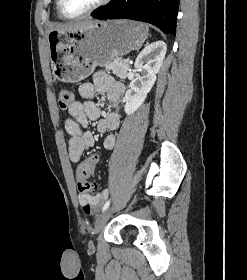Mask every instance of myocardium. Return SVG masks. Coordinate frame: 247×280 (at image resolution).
Returning a JSON list of instances; mask_svg holds the SVG:
<instances>
[{"mask_svg":"<svg viewBox=\"0 0 247 280\" xmlns=\"http://www.w3.org/2000/svg\"><path fill=\"white\" fill-rule=\"evenodd\" d=\"M111 0H99L95 5L87 9L86 11L77 14V15H69L65 12L64 9V0H58V11L59 14L61 15L62 18L67 19V20H75V19H80L83 17H86L93 12L97 11L98 9L102 8L106 4H108Z\"/></svg>","mask_w":247,"mask_h":280,"instance_id":"f54148a6","label":"myocardium"}]
</instances>
